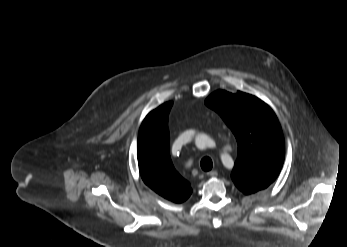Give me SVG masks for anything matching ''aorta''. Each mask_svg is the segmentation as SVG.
<instances>
[{
  "instance_id": "obj_1",
  "label": "aorta",
  "mask_w": 347,
  "mask_h": 247,
  "mask_svg": "<svg viewBox=\"0 0 347 247\" xmlns=\"http://www.w3.org/2000/svg\"><path fill=\"white\" fill-rule=\"evenodd\" d=\"M195 142L197 147H202L208 142V136L205 134H198Z\"/></svg>"
}]
</instances>
